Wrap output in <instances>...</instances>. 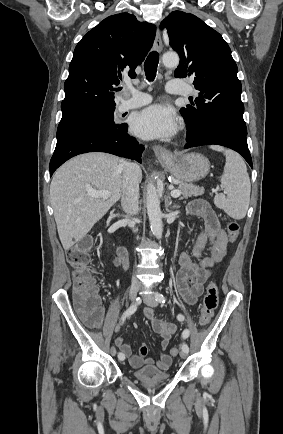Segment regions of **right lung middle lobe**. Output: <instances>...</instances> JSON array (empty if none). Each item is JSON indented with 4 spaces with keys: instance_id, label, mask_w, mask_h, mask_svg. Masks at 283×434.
<instances>
[{
    "instance_id": "1",
    "label": "right lung middle lobe",
    "mask_w": 283,
    "mask_h": 434,
    "mask_svg": "<svg viewBox=\"0 0 283 434\" xmlns=\"http://www.w3.org/2000/svg\"><path fill=\"white\" fill-rule=\"evenodd\" d=\"M114 110L62 118L57 129V141L70 134L91 128H125L127 126L125 123L116 124L114 122Z\"/></svg>"
}]
</instances>
